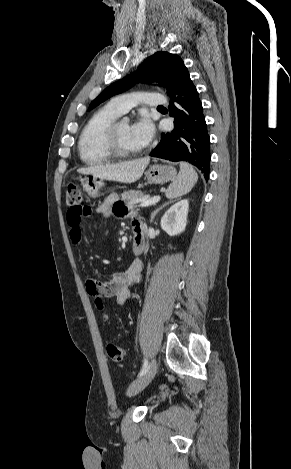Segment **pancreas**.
Here are the masks:
<instances>
[{"label": "pancreas", "instance_id": "pancreas-1", "mask_svg": "<svg viewBox=\"0 0 291 469\" xmlns=\"http://www.w3.org/2000/svg\"><path fill=\"white\" fill-rule=\"evenodd\" d=\"M122 200L130 207H133L137 204L139 198L143 197V192L141 191H125L121 194Z\"/></svg>", "mask_w": 291, "mask_h": 469}]
</instances>
